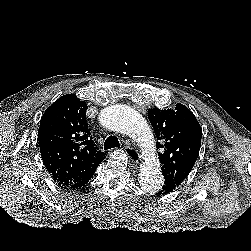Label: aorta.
<instances>
[{
	"instance_id": "obj_1",
	"label": "aorta",
	"mask_w": 251,
	"mask_h": 251,
	"mask_svg": "<svg viewBox=\"0 0 251 251\" xmlns=\"http://www.w3.org/2000/svg\"><path fill=\"white\" fill-rule=\"evenodd\" d=\"M99 121L105 128L127 135L141 146L145 154L139 180L141 189L151 195L158 192L164 181L155 153L154 136L147 121L137 111L126 105L104 108L100 112Z\"/></svg>"
}]
</instances>
